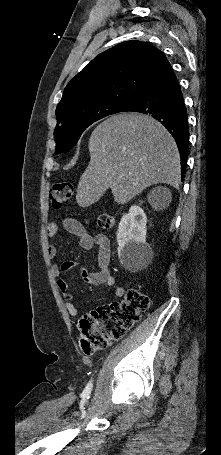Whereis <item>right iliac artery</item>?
Here are the masks:
<instances>
[{
  "instance_id": "1",
  "label": "right iliac artery",
  "mask_w": 221,
  "mask_h": 455,
  "mask_svg": "<svg viewBox=\"0 0 221 455\" xmlns=\"http://www.w3.org/2000/svg\"><path fill=\"white\" fill-rule=\"evenodd\" d=\"M92 386H93V385H92V382L90 381V382L87 384V386H86L84 392H85V393H90V391H91V389H92Z\"/></svg>"
}]
</instances>
